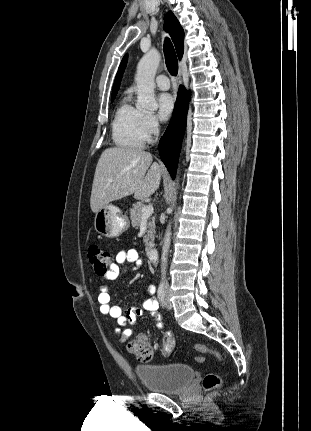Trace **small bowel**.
Here are the masks:
<instances>
[{
  "mask_svg": "<svg viewBox=\"0 0 311 431\" xmlns=\"http://www.w3.org/2000/svg\"><path fill=\"white\" fill-rule=\"evenodd\" d=\"M125 265H131L128 268L130 272L137 271L142 266V259L136 249L118 252L114 257V261L110 263L105 277L108 280H115ZM147 291L149 296L142 302L140 306L130 308L124 313L120 306L111 304V296L108 288L106 285H103L101 286L100 292L97 296L100 312L116 319L119 327H126L127 325L135 323L136 319L143 316L144 314L154 317L157 322V327H161V317L157 313L159 301L154 296L155 286L150 284ZM131 335L132 330L125 329L121 333L120 339L125 341ZM168 335L171 336L170 334Z\"/></svg>",
  "mask_w": 311,
  "mask_h": 431,
  "instance_id": "small-bowel-1",
  "label": "small bowel"
}]
</instances>
